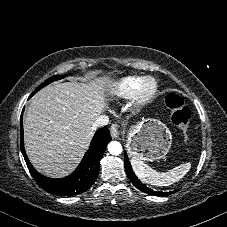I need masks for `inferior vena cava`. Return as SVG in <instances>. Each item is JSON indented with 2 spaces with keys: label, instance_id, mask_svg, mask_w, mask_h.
I'll return each mask as SVG.
<instances>
[{
  "label": "inferior vena cava",
  "instance_id": "obj_1",
  "mask_svg": "<svg viewBox=\"0 0 227 227\" xmlns=\"http://www.w3.org/2000/svg\"><path fill=\"white\" fill-rule=\"evenodd\" d=\"M109 123V118L106 115L99 116L96 121L94 122V129L97 127H103L106 126Z\"/></svg>",
  "mask_w": 227,
  "mask_h": 227
}]
</instances>
